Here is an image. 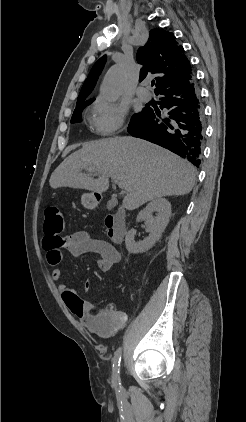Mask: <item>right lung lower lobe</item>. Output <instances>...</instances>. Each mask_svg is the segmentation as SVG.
Here are the masks:
<instances>
[{"label":"right lung lower lobe","mask_w":246,"mask_h":422,"mask_svg":"<svg viewBox=\"0 0 246 422\" xmlns=\"http://www.w3.org/2000/svg\"><path fill=\"white\" fill-rule=\"evenodd\" d=\"M161 95L160 108L167 117L152 109L130 122L128 132L134 137L158 144L186 158L199 168L204 138L202 104L194 77L156 93Z\"/></svg>","instance_id":"obj_1"}]
</instances>
